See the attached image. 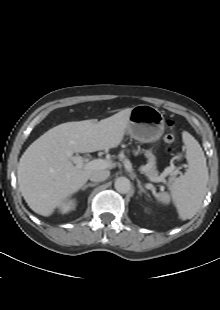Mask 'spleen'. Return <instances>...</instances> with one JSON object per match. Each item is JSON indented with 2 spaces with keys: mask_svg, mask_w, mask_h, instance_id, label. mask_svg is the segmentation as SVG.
I'll use <instances>...</instances> for the list:
<instances>
[{
  "mask_svg": "<svg viewBox=\"0 0 220 310\" xmlns=\"http://www.w3.org/2000/svg\"><path fill=\"white\" fill-rule=\"evenodd\" d=\"M186 145L188 169L184 175L176 178L171 186V192L160 193L157 200L163 204L173 201L180 219H191L200 208L206 194L208 183V168L206 158L199 143L188 132L183 133Z\"/></svg>",
  "mask_w": 220,
  "mask_h": 310,
  "instance_id": "3e777b00",
  "label": "spleen"
}]
</instances>
